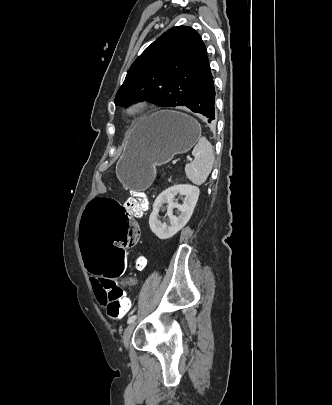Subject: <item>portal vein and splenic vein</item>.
<instances>
[{
  "instance_id": "1",
  "label": "portal vein and splenic vein",
  "mask_w": 332,
  "mask_h": 405,
  "mask_svg": "<svg viewBox=\"0 0 332 405\" xmlns=\"http://www.w3.org/2000/svg\"><path fill=\"white\" fill-rule=\"evenodd\" d=\"M189 160H192V158H189ZM174 164L176 163V162H173Z\"/></svg>"
}]
</instances>
